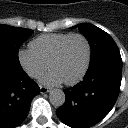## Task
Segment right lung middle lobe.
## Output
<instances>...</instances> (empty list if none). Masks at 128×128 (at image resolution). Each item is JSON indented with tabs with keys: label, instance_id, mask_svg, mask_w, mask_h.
<instances>
[{
	"label": "right lung middle lobe",
	"instance_id": "right-lung-middle-lobe-1",
	"mask_svg": "<svg viewBox=\"0 0 128 128\" xmlns=\"http://www.w3.org/2000/svg\"><path fill=\"white\" fill-rule=\"evenodd\" d=\"M32 34V30L0 25V64L13 69L22 68L18 59V50Z\"/></svg>",
	"mask_w": 128,
	"mask_h": 128
}]
</instances>
